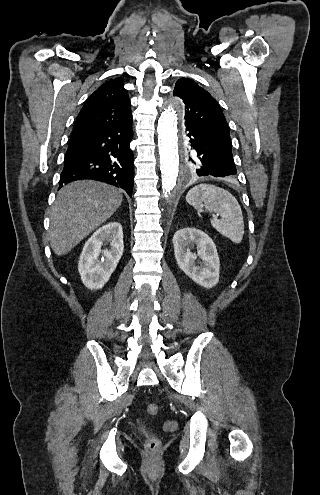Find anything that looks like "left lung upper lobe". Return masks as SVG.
Here are the masks:
<instances>
[{
    "label": "left lung upper lobe",
    "instance_id": "obj_1",
    "mask_svg": "<svg viewBox=\"0 0 320 495\" xmlns=\"http://www.w3.org/2000/svg\"><path fill=\"white\" fill-rule=\"evenodd\" d=\"M173 95L181 98L185 104V122H193L217 142L232 148L230 132L223 112L205 89L189 78H181L175 84ZM199 155V151L192 147L186 153L185 169L190 177L198 175Z\"/></svg>",
    "mask_w": 320,
    "mask_h": 495
}]
</instances>
